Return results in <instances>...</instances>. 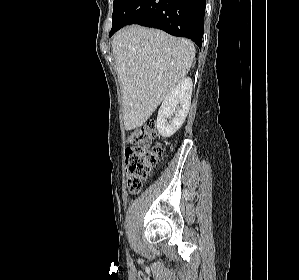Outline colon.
I'll use <instances>...</instances> for the list:
<instances>
[{
  "instance_id": "1",
  "label": "colon",
  "mask_w": 299,
  "mask_h": 280,
  "mask_svg": "<svg viewBox=\"0 0 299 280\" xmlns=\"http://www.w3.org/2000/svg\"><path fill=\"white\" fill-rule=\"evenodd\" d=\"M155 137L154 123L137 128L127 136L125 150L127 186L133 194L140 192L161 159L163 153L161 146L146 148Z\"/></svg>"
}]
</instances>
